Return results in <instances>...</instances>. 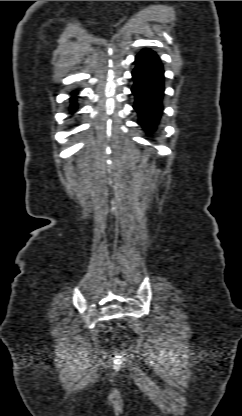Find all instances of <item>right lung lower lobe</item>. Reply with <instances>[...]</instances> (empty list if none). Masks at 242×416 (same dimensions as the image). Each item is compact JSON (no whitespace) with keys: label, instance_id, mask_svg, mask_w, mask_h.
I'll return each mask as SVG.
<instances>
[{"label":"right lung lower lobe","instance_id":"1","mask_svg":"<svg viewBox=\"0 0 242 416\" xmlns=\"http://www.w3.org/2000/svg\"><path fill=\"white\" fill-rule=\"evenodd\" d=\"M78 94V92H76V91H74V92H72V97L70 98L71 99V105H70V113L71 114H73L76 110H77V104H76V98H77V95Z\"/></svg>","mask_w":242,"mask_h":416}]
</instances>
